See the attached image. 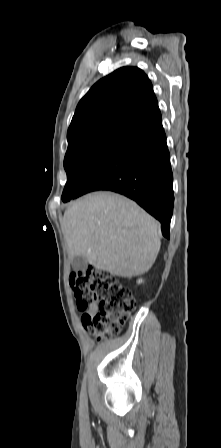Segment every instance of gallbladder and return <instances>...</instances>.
Wrapping results in <instances>:
<instances>
[{
	"mask_svg": "<svg viewBox=\"0 0 221 448\" xmlns=\"http://www.w3.org/2000/svg\"><path fill=\"white\" fill-rule=\"evenodd\" d=\"M87 265L86 258L83 256H76L72 259V267L75 271L85 270Z\"/></svg>",
	"mask_w": 221,
	"mask_h": 448,
	"instance_id": "1",
	"label": "gallbladder"
}]
</instances>
